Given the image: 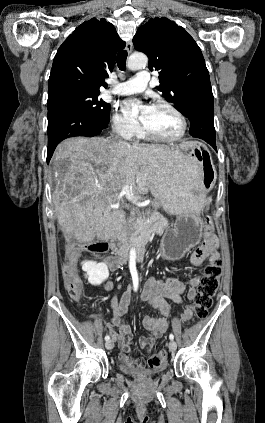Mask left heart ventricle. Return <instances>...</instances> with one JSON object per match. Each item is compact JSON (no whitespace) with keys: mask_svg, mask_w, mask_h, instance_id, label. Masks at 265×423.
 Instances as JSON below:
<instances>
[{"mask_svg":"<svg viewBox=\"0 0 265 423\" xmlns=\"http://www.w3.org/2000/svg\"><path fill=\"white\" fill-rule=\"evenodd\" d=\"M141 119L150 131L161 136L174 137L181 131L179 118L164 107H150L147 112H143Z\"/></svg>","mask_w":265,"mask_h":423,"instance_id":"1","label":"left heart ventricle"}]
</instances>
